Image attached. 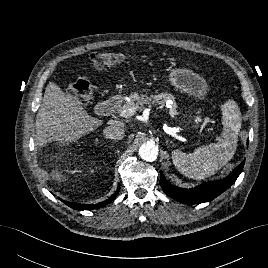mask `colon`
I'll return each instance as SVG.
<instances>
[{
  "instance_id": "1",
  "label": "colon",
  "mask_w": 268,
  "mask_h": 268,
  "mask_svg": "<svg viewBox=\"0 0 268 268\" xmlns=\"http://www.w3.org/2000/svg\"><path fill=\"white\" fill-rule=\"evenodd\" d=\"M125 60V55L115 52H95L90 56V62L97 69L118 66ZM70 97L77 103H85L92 95V87L86 77H79L69 87Z\"/></svg>"
}]
</instances>
